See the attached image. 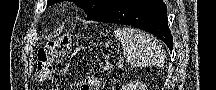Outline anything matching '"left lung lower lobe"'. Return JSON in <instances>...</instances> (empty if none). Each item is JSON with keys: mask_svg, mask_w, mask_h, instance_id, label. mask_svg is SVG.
<instances>
[{"mask_svg": "<svg viewBox=\"0 0 216 90\" xmlns=\"http://www.w3.org/2000/svg\"><path fill=\"white\" fill-rule=\"evenodd\" d=\"M141 28L161 39L172 51L173 40L168 27L166 5L162 0H126L94 19Z\"/></svg>", "mask_w": 216, "mask_h": 90, "instance_id": "1", "label": "left lung lower lobe"}]
</instances>
